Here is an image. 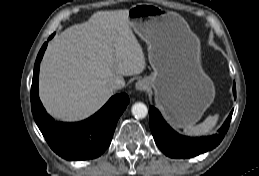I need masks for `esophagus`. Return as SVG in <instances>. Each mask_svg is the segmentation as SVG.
Masks as SVG:
<instances>
[{"instance_id": "esophagus-1", "label": "esophagus", "mask_w": 259, "mask_h": 176, "mask_svg": "<svg viewBox=\"0 0 259 176\" xmlns=\"http://www.w3.org/2000/svg\"><path fill=\"white\" fill-rule=\"evenodd\" d=\"M135 88L139 91H145L148 88V83L145 80H139L136 82Z\"/></svg>"}]
</instances>
